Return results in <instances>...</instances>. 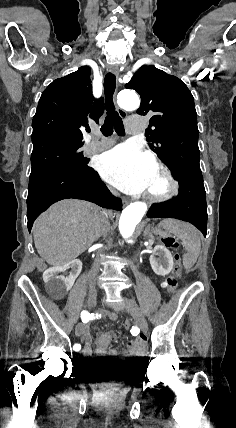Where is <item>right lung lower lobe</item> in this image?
I'll list each match as a JSON object with an SVG mask.
<instances>
[{"mask_svg":"<svg viewBox=\"0 0 236 428\" xmlns=\"http://www.w3.org/2000/svg\"><path fill=\"white\" fill-rule=\"evenodd\" d=\"M76 198L101 207L122 210V202L111 195L93 168L83 170L58 169L30 177L27 198L28 230L35 219L51 204Z\"/></svg>","mask_w":236,"mask_h":428,"instance_id":"right-lung-lower-lobe-1","label":"right lung lower lobe"}]
</instances>
